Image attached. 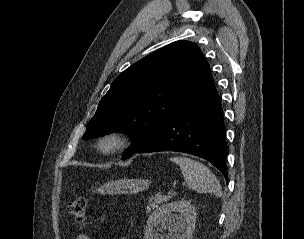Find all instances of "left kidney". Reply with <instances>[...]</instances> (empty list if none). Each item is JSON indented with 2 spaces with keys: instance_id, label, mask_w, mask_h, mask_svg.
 I'll use <instances>...</instances> for the list:
<instances>
[{
  "instance_id": "1",
  "label": "left kidney",
  "mask_w": 304,
  "mask_h": 239,
  "mask_svg": "<svg viewBox=\"0 0 304 239\" xmlns=\"http://www.w3.org/2000/svg\"><path fill=\"white\" fill-rule=\"evenodd\" d=\"M179 212L180 215L173 214ZM196 210L187 200L170 202L159 207L148 218L145 239H163L154 228L161 225L170 231L168 239H191L195 230ZM179 233H182L181 235Z\"/></svg>"
}]
</instances>
